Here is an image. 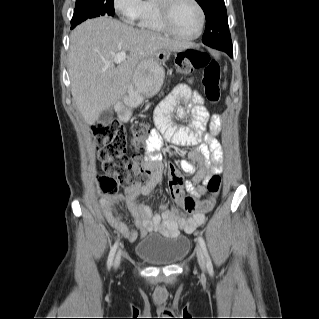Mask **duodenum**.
I'll return each mask as SVG.
<instances>
[{"label":"duodenum","instance_id":"obj_1","mask_svg":"<svg viewBox=\"0 0 319 319\" xmlns=\"http://www.w3.org/2000/svg\"><path fill=\"white\" fill-rule=\"evenodd\" d=\"M130 103L129 101L120 102L116 107V112L121 121H127L130 116Z\"/></svg>","mask_w":319,"mask_h":319}]
</instances>
